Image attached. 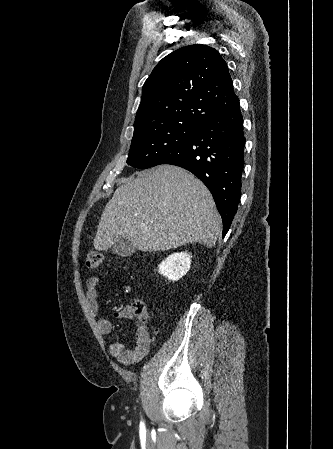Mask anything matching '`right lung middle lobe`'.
Instances as JSON below:
<instances>
[{"label":"right lung middle lobe","mask_w":333,"mask_h":449,"mask_svg":"<svg viewBox=\"0 0 333 449\" xmlns=\"http://www.w3.org/2000/svg\"><path fill=\"white\" fill-rule=\"evenodd\" d=\"M200 127L191 122L169 123L134 136L127 163L140 169L156 166Z\"/></svg>","instance_id":"1"}]
</instances>
